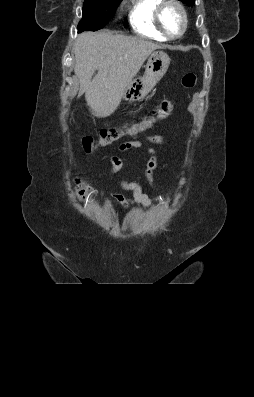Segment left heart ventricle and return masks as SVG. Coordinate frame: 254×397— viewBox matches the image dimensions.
<instances>
[{
  "instance_id": "obj_1",
  "label": "left heart ventricle",
  "mask_w": 254,
  "mask_h": 397,
  "mask_svg": "<svg viewBox=\"0 0 254 397\" xmlns=\"http://www.w3.org/2000/svg\"><path fill=\"white\" fill-rule=\"evenodd\" d=\"M162 22L166 31L171 35L179 34L183 25L181 14L174 6L165 8L162 14Z\"/></svg>"
}]
</instances>
